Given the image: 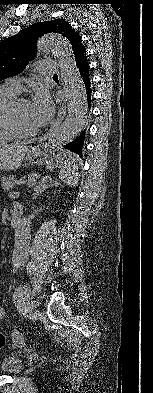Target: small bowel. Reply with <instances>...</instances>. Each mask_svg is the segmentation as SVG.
Listing matches in <instances>:
<instances>
[{
  "instance_id": "obj_1",
  "label": "small bowel",
  "mask_w": 153,
  "mask_h": 393,
  "mask_svg": "<svg viewBox=\"0 0 153 393\" xmlns=\"http://www.w3.org/2000/svg\"><path fill=\"white\" fill-rule=\"evenodd\" d=\"M3 315H4V310L2 307H0V319L3 317Z\"/></svg>"
}]
</instances>
